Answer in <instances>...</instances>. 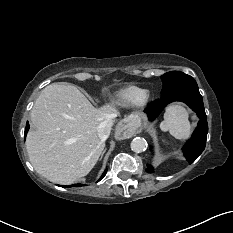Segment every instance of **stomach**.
Here are the masks:
<instances>
[{
  "label": "stomach",
  "instance_id": "0dacf381",
  "mask_svg": "<svg viewBox=\"0 0 233 233\" xmlns=\"http://www.w3.org/2000/svg\"><path fill=\"white\" fill-rule=\"evenodd\" d=\"M133 119H134V121L136 122V123H139L140 122V120H141V118H140V116L139 115H135V116H133ZM138 125V124H137Z\"/></svg>",
  "mask_w": 233,
  "mask_h": 233
}]
</instances>
